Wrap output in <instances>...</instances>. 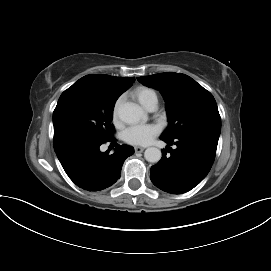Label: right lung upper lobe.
<instances>
[{
	"instance_id": "obj_1",
	"label": "right lung upper lobe",
	"mask_w": 271,
	"mask_h": 271,
	"mask_svg": "<svg viewBox=\"0 0 271 271\" xmlns=\"http://www.w3.org/2000/svg\"><path fill=\"white\" fill-rule=\"evenodd\" d=\"M134 81L133 77H113L103 74H92L82 77L75 84L83 85L98 94L120 96Z\"/></svg>"
}]
</instances>
